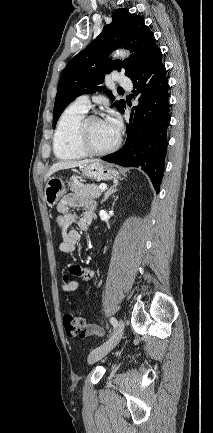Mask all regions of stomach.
Returning <instances> with one entry per match:
<instances>
[{
    "label": "stomach",
    "instance_id": "0dacf381",
    "mask_svg": "<svg viewBox=\"0 0 213 433\" xmlns=\"http://www.w3.org/2000/svg\"><path fill=\"white\" fill-rule=\"evenodd\" d=\"M81 171L84 176L97 181L115 179L118 176V172L111 165L99 160L83 165ZM66 191V182L62 177L49 178L44 190V200L49 206H54Z\"/></svg>",
    "mask_w": 213,
    "mask_h": 433
}]
</instances>
